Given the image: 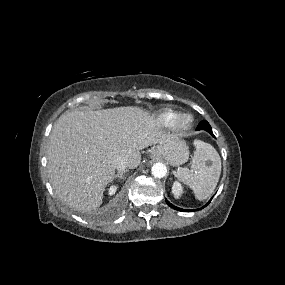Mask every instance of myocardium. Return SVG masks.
Wrapping results in <instances>:
<instances>
[{
	"instance_id": "obj_1",
	"label": "myocardium",
	"mask_w": 285,
	"mask_h": 285,
	"mask_svg": "<svg viewBox=\"0 0 285 285\" xmlns=\"http://www.w3.org/2000/svg\"><path fill=\"white\" fill-rule=\"evenodd\" d=\"M174 124L179 130L186 131L192 127L193 118L188 114L179 115L176 117Z\"/></svg>"
}]
</instances>
